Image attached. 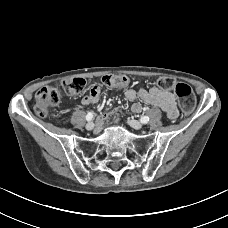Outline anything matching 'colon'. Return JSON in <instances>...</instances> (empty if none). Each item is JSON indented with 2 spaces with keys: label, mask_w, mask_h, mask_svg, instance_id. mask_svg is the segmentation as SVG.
Returning <instances> with one entry per match:
<instances>
[{
  "label": "colon",
  "mask_w": 228,
  "mask_h": 228,
  "mask_svg": "<svg viewBox=\"0 0 228 228\" xmlns=\"http://www.w3.org/2000/svg\"><path fill=\"white\" fill-rule=\"evenodd\" d=\"M102 82L107 87H125L130 83V79L125 75H105ZM157 85L161 89L174 90L181 109L189 113L196 105V97L192 88L185 83H176L170 77H161L157 80ZM86 86V81L80 77L67 78L62 82L64 92L69 96L80 94ZM61 93L55 87H43L35 96V113L40 117H46L52 108L58 105Z\"/></svg>",
  "instance_id": "1"
}]
</instances>
